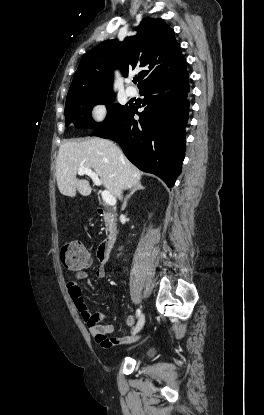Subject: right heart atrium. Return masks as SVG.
<instances>
[{"instance_id": "1", "label": "right heart atrium", "mask_w": 264, "mask_h": 415, "mask_svg": "<svg viewBox=\"0 0 264 415\" xmlns=\"http://www.w3.org/2000/svg\"><path fill=\"white\" fill-rule=\"evenodd\" d=\"M92 118L97 122H102L105 120L108 114V105L103 101L94 103L91 106L90 110Z\"/></svg>"}]
</instances>
